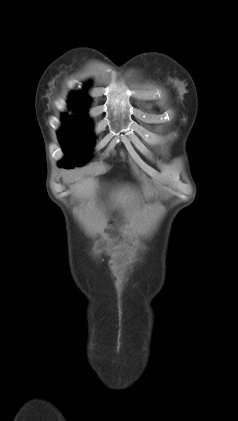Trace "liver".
<instances>
[{"mask_svg":"<svg viewBox=\"0 0 238 421\" xmlns=\"http://www.w3.org/2000/svg\"><path fill=\"white\" fill-rule=\"evenodd\" d=\"M94 182L92 180H84L82 181L76 190V195L80 198H84L90 196L93 192ZM116 201L119 203H124L128 199V193L126 190H121L116 195Z\"/></svg>","mask_w":238,"mask_h":421,"instance_id":"1","label":"liver"}]
</instances>
